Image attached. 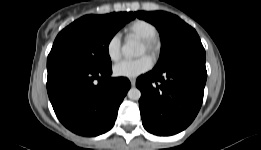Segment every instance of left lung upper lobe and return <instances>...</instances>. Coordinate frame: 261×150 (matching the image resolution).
Instances as JSON below:
<instances>
[{"mask_svg":"<svg viewBox=\"0 0 261 150\" xmlns=\"http://www.w3.org/2000/svg\"><path fill=\"white\" fill-rule=\"evenodd\" d=\"M135 15L152 23L160 33L162 48L156 66L164 64L179 49L194 42H201L197 32L176 15L163 11H138Z\"/></svg>","mask_w":261,"mask_h":150,"instance_id":"5c2ea615","label":"left lung upper lobe"}]
</instances>
